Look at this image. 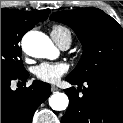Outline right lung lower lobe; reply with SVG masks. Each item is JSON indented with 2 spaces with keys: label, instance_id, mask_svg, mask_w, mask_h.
<instances>
[{
  "label": "right lung lower lobe",
  "instance_id": "obj_1",
  "mask_svg": "<svg viewBox=\"0 0 123 123\" xmlns=\"http://www.w3.org/2000/svg\"><path fill=\"white\" fill-rule=\"evenodd\" d=\"M28 76L26 72L19 77L1 78V123H31L37 107L50 96V84L38 80L27 88H10L12 80L25 81Z\"/></svg>",
  "mask_w": 123,
  "mask_h": 123
}]
</instances>
